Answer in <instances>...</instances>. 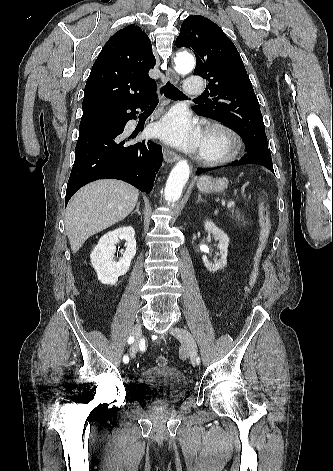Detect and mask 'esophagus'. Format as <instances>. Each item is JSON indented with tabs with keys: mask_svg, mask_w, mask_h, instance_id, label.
Segmentation results:
<instances>
[{
	"mask_svg": "<svg viewBox=\"0 0 333 471\" xmlns=\"http://www.w3.org/2000/svg\"><path fill=\"white\" fill-rule=\"evenodd\" d=\"M166 78L174 83V84H177L178 81H179V77L178 75L176 74V72L169 68L167 71H166ZM163 154H164V159L167 163H173V162H176L178 161L181 157L180 155H178L177 153H175L174 151L170 150L169 148L165 147L163 149Z\"/></svg>",
	"mask_w": 333,
	"mask_h": 471,
	"instance_id": "esophagus-1",
	"label": "esophagus"
}]
</instances>
